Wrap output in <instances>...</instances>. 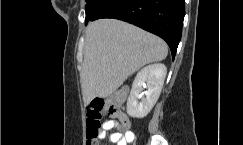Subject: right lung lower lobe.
<instances>
[{
    "label": "right lung lower lobe",
    "instance_id": "obj_1",
    "mask_svg": "<svg viewBox=\"0 0 243 145\" xmlns=\"http://www.w3.org/2000/svg\"><path fill=\"white\" fill-rule=\"evenodd\" d=\"M184 0H92L86 7L85 24L115 18L134 24L163 38L174 59L181 39Z\"/></svg>",
    "mask_w": 243,
    "mask_h": 145
}]
</instances>
